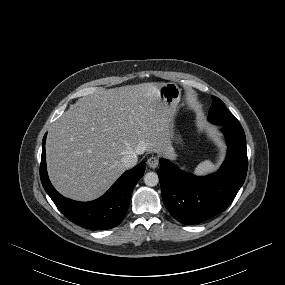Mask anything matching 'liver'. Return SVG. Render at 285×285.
I'll return each mask as SVG.
<instances>
[{"mask_svg": "<svg viewBox=\"0 0 285 285\" xmlns=\"http://www.w3.org/2000/svg\"><path fill=\"white\" fill-rule=\"evenodd\" d=\"M162 85L150 82L94 93L52 124L46 141L47 169L59 193L91 201L126 171L125 156H173L174 113L160 96Z\"/></svg>", "mask_w": 285, "mask_h": 285, "instance_id": "liver-1", "label": "liver"}]
</instances>
